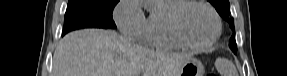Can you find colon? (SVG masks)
Wrapping results in <instances>:
<instances>
[{"label":"colon","mask_w":287,"mask_h":76,"mask_svg":"<svg viewBox=\"0 0 287 76\" xmlns=\"http://www.w3.org/2000/svg\"><path fill=\"white\" fill-rule=\"evenodd\" d=\"M208 76H214V74H213V73H210V74H208Z\"/></svg>","instance_id":"5ec220e1"}]
</instances>
